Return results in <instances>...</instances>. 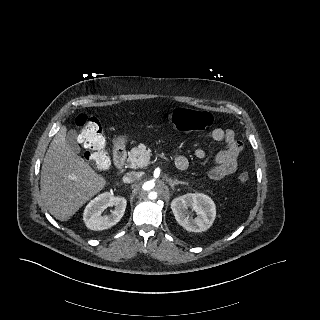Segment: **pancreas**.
<instances>
[{"mask_svg": "<svg viewBox=\"0 0 320 320\" xmlns=\"http://www.w3.org/2000/svg\"><path fill=\"white\" fill-rule=\"evenodd\" d=\"M150 155V150L147 149L144 144L132 148L128 153V167L133 169L145 167L149 161Z\"/></svg>", "mask_w": 320, "mask_h": 320, "instance_id": "cf45deb5", "label": "pancreas"}]
</instances>
